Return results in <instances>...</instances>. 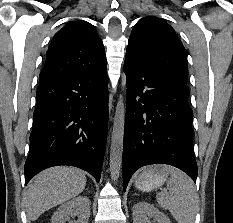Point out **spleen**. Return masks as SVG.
I'll use <instances>...</instances> for the list:
<instances>
[{"label":"spleen","instance_id":"obj_1","mask_svg":"<svg viewBox=\"0 0 233 223\" xmlns=\"http://www.w3.org/2000/svg\"><path fill=\"white\" fill-rule=\"evenodd\" d=\"M168 169L169 191H159L156 199L161 207L171 211L178 223H195L199 197L193 179L176 167H168Z\"/></svg>","mask_w":233,"mask_h":223}]
</instances>
